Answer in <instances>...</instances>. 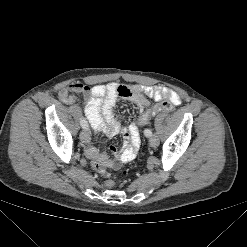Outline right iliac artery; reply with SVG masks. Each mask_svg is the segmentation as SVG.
<instances>
[{"label": "right iliac artery", "instance_id": "82829eb1", "mask_svg": "<svg viewBox=\"0 0 247 247\" xmlns=\"http://www.w3.org/2000/svg\"><path fill=\"white\" fill-rule=\"evenodd\" d=\"M80 124H81L82 128L88 129V123H87L85 118L82 117L80 119Z\"/></svg>", "mask_w": 247, "mask_h": 247}]
</instances>
